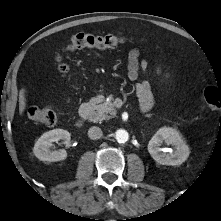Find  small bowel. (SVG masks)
Masks as SVG:
<instances>
[{
    "label": "small bowel",
    "mask_w": 221,
    "mask_h": 221,
    "mask_svg": "<svg viewBox=\"0 0 221 221\" xmlns=\"http://www.w3.org/2000/svg\"><path fill=\"white\" fill-rule=\"evenodd\" d=\"M148 63L145 59H140V50L134 48L128 54V78L130 81L137 80L140 72H145ZM157 73H161L160 68H157ZM136 94L140 101L141 110L146 112L153 106V96L148 82L142 81L135 86Z\"/></svg>",
    "instance_id": "1"
}]
</instances>
